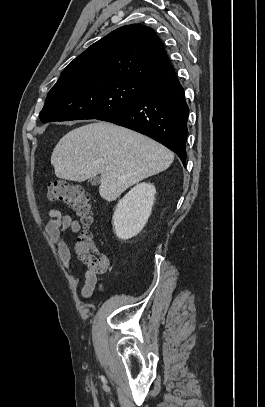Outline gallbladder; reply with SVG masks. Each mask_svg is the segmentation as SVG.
Instances as JSON below:
<instances>
[{
  "label": "gallbladder",
  "mask_w": 265,
  "mask_h": 407,
  "mask_svg": "<svg viewBox=\"0 0 265 407\" xmlns=\"http://www.w3.org/2000/svg\"><path fill=\"white\" fill-rule=\"evenodd\" d=\"M92 185H98L100 183V179L98 177H94L89 180Z\"/></svg>",
  "instance_id": "bac80fb5"
}]
</instances>
